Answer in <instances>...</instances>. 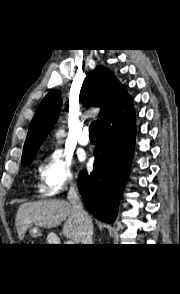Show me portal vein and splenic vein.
Masks as SVG:
<instances>
[{
  "label": "portal vein and splenic vein",
  "mask_w": 180,
  "mask_h": 294,
  "mask_svg": "<svg viewBox=\"0 0 180 294\" xmlns=\"http://www.w3.org/2000/svg\"><path fill=\"white\" fill-rule=\"evenodd\" d=\"M67 244H74L72 240L67 241Z\"/></svg>",
  "instance_id": "1"
}]
</instances>
